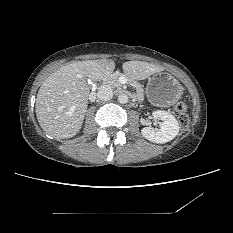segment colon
Wrapping results in <instances>:
<instances>
[{
  "instance_id": "1",
  "label": "colon",
  "mask_w": 233,
  "mask_h": 233,
  "mask_svg": "<svg viewBox=\"0 0 233 233\" xmlns=\"http://www.w3.org/2000/svg\"><path fill=\"white\" fill-rule=\"evenodd\" d=\"M175 111L177 114V119H178L179 124L182 127H186L189 124L187 104L183 101L177 102L175 105Z\"/></svg>"
}]
</instances>
